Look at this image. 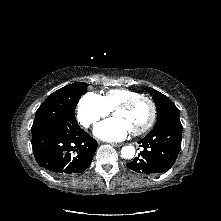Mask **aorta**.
<instances>
[{
	"mask_svg": "<svg viewBox=\"0 0 221 221\" xmlns=\"http://www.w3.org/2000/svg\"><path fill=\"white\" fill-rule=\"evenodd\" d=\"M121 154L123 158L132 159L135 155V148L133 146L122 147Z\"/></svg>",
	"mask_w": 221,
	"mask_h": 221,
	"instance_id": "aorta-1",
	"label": "aorta"
}]
</instances>
